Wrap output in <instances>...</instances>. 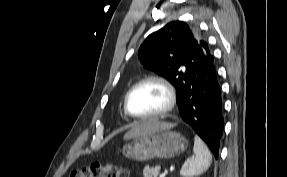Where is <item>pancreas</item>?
<instances>
[{
	"label": "pancreas",
	"instance_id": "1",
	"mask_svg": "<svg viewBox=\"0 0 287 177\" xmlns=\"http://www.w3.org/2000/svg\"><path fill=\"white\" fill-rule=\"evenodd\" d=\"M159 166H155L152 168H149L148 166L144 167L143 170V176L144 177H157L159 175Z\"/></svg>",
	"mask_w": 287,
	"mask_h": 177
}]
</instances>
